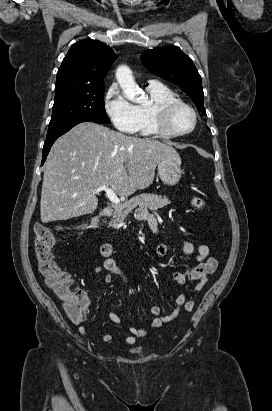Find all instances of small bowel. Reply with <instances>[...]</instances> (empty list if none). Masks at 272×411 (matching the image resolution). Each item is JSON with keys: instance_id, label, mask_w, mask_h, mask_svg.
<instances>
[{"instance_id": "1", "label": "small bowel", "mask_w": 272, "mask_h": 411, "mask_svg": "<svg viewBox=\"0 0 272 411\" xmlns=\"http://www.w3.org/2000/svg\"><path fill=\"white\" fill-rule=\"evenodd\" d=\"M137 218L148 224L150 230L154 234H158V223L153 215L147 209H140L137 212ZM182 251L187 256H192L197 263L196 266L188 268L184 271H174L173 278L180 287H183L187 282H197L194 292L198 293L205 286L209 275H211L217 268V261L213 257H209V248L204 244H200L197 247L191 242H185L182 246ZM168 252V248L164 244H160L156 247L155 253L158 257H164ZM101 256L103 257V263L100 266H96L94 271L99 274H103V281L110 283L113 275H119L126 281L133 279V274L129 269L127 261L118 263L113 257L114 249L110 243H103L100 248ZM176 307L174 310L167 314H161V308L159 306H152L150 313L153 319L150 322V328L159 329L164 324L177 317L181 310L192 311L194 309V302L187 300L183 291L180 292L176 298ZM107 320L121 324V317L115 312H108L103 316ZM82 336H86L88 331L86 327L80 326L78 329ZM148 331L145 328L130 327L129 334L125 335L124 341L128 345H134L137 339L143 338L147 335ZM104 342H110L113 339L111 334H104L102 337Z\"/></svg>"}]
</instances>
